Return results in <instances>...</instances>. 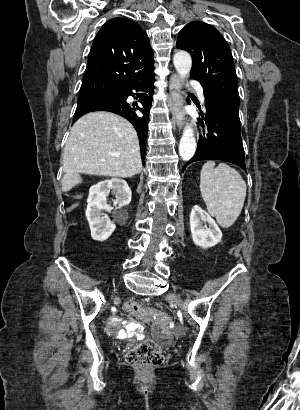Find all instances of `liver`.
<instances>
[{"label":"liver","mask_w":300,"mask_h":410,"mask_svg":"<svg viewBox=\"0 0 300 410\" xmlns=\"http://www.w3.org/2000/svg\"><path fill=\"white\" fill-rule=\"evenodd\" d=\"M62 190L82 182L80 173L131 177L142 171L138 136L123 117L104 111L81 117L70 130L63 152Z\"/></svg>","instance_id":"6515ba94"}]
</instances>
